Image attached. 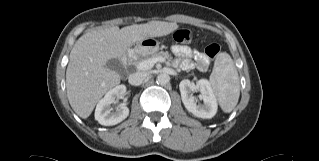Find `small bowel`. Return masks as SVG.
Wrapping results in <instances>:
<instances>
[{
	"label": "small bowel",
	"instance_id": "1",
	"mask_svg": "<svg viewBox=\"0 0 319 161\" xmlns=\"http://www.w3.org/2000/svg\"><path fill=\"white\" fill-rule=\"evenodd\" d=\"M172 52L178 58L180 67L185 71L194 68L206 71L208 68V59L197 49H192L184 45H175L172 47ZM192 59H194V61H192Z\"/></svg>",
	"mask_w": 319,
	"mask_h": 161
}]
</instances>
